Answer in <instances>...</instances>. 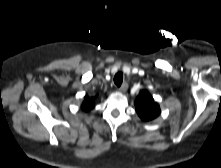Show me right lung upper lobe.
<instances>
[{
  "mask_svg": "<svg viewBox=\"0 0 221 168\" xmlns=\"http://www.w3.org/2000/svg\"><path fill=\"white\" fill-rule=\"evenodd\" d=\"M94 100H95L94 97L85 96L84 101L81 105L82 110H85V111L91 110L94 107Z\"/></svg>",
  "mask_w": 221,
  "mask_h": 168,
  "instance_id": "cb5924a9",
  "label": "right lung upper lobe"
}]
</instances>
